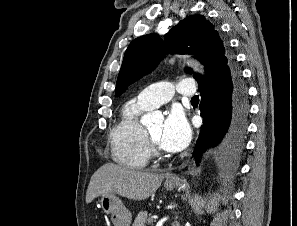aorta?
Returning <instances> with one entry per match:
<instances>
[{"mask_svg": "<svg viewBox=\"0 0 297 226\" xmlns=\"http://www.w3.org/2000/svg\"><path fill=\"white\" fill-rule=\"evenodd\" d=\"M189 64V63H188ZM191 65H192V63H191ZM157 116V113L156 112H153L152 114H149L148 115V118H154V117H156Z\"/></svg>", "mask_w": 297, "mask_h": 226, "instance_id": "762f6f07", "label": "aorta"}]
</instances>
